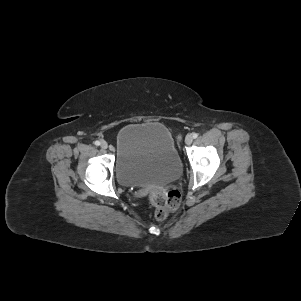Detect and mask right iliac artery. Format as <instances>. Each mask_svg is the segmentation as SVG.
Masks as SVG:
<instances>
[{"label": "right iliac artery", "mask_w": 301, "mask_h": 301, "mask_svg": "<svg viewBox=\"0 0 301 301\" xmlns=\"http://www.w3.org/2000/svg\"><path fill=\"white\" fill-rule=\"evenodd\" d=\"M94 144H95L96 146H99V145H100V142H99L98 140H96V141L94 142Z\"/></svg>", "instance_id": "1"}]
</instances>
